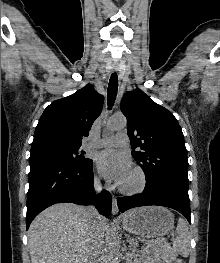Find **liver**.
<instances>
[{
	"mask_svg": "<svg viewBox=\"0 0 220 263\" xmlns=\"http://www.w3.org/2000/svg\"><path fill=\"white\" fill-rule=\"evenodd\" d=\"M96 225L104 231L107 223L98 216ZM92 220L83 206L55 204L42 211L28 230L31 263H86Z\"/></svg>",
	"mask_w": 220,
	"mask_h": 263,
	"instance_id": "1",
	"label": "liver"
}]
</instances>
